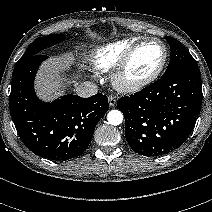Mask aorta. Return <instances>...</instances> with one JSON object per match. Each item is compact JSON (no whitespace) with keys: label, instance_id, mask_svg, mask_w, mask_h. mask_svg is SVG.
Instances as JSON below:
<instances>
[{"label":"aorta","instance_id":"762f6f07","mask_svg":"<svg viewBox=\"0 0 212 212\" xmlns=\"http://www.w3.org/2000/svg\"><path fill=\"white\" fill-rule=\"evenodd\" d=\"M107 121L113 126L120 125L123 122V114L119 110H111L107 114Z\"/></svg>","mask_w":212,"mask_h":212}]
</instances>
